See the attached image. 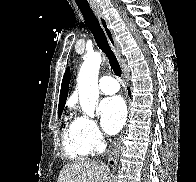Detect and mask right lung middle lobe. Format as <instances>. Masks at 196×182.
Here are the masks:
<instances>
[{"mask_svg":"<svg viewBox=\"0 0 196 182\" xmlns=\"http://www.w3.org/2000/svg\"><path fill=\"white\" fill-rule=\"evenodd\" d=\"M61 114H62V113H61V112H59V117L61 116Z\"/></svg>","mask_w":196,"mask_h":182,"instance_id":"1","label":"right lung middle lobe"}]
</instances>
